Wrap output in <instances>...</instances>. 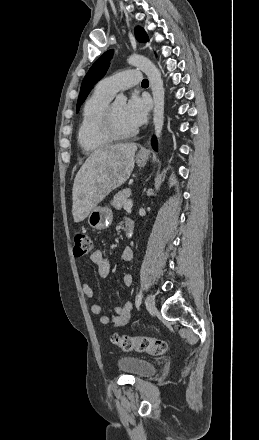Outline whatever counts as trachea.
<instances>
[{"label": "trachea", "instance_id": "trachea-1", "mask_svg": "<svg viewBox=\"0 0 259 440\" xmlns=\"http://www.w3.org/2000/svg\"><path fill=\"white\" fill-rule=\"evenodd\" d=\"M148 84H149V82H148L147 79H144V80L142 81V85H148Z\"/></svg>", "mask_w": 259, "mask_h": 440}]
</instances>
